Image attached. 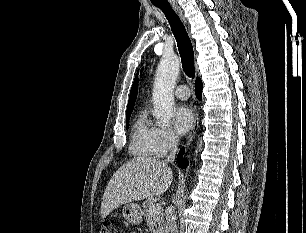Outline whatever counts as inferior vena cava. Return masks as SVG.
Segmentation results:
<instances>
[{
    "label": "inferior vena cava",
    "mask_w": 306,
    "mask_h": 233,
    "mask_svg": "<svg viewBox=\"0 0 306 233\" xmlns=\"http://www.w3.org/2000/svg\"><path fill=\"white\" fill-rule=\"evenodd\" d=\"M178 145V139L177 137H173L171 140V145H170V154L166 159V162H174L175 159V154L178 150L177 148ZM165 233H178V228L175 222V218L173 216V212L170 211L169 214L166 216V231Z\"/></svg>",
    "instance_id": "1"
}]
</instances>
